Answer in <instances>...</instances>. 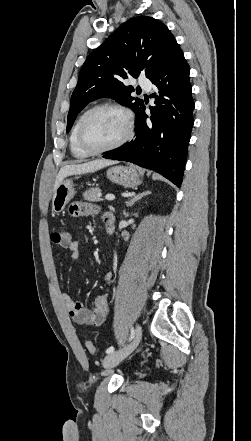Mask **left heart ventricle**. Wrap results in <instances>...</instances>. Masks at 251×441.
<instances>
[{"label":"left heart ventricle","instance_id":"1","mask_svg":"<svg viewBox=\"0 0 251 441\" xmlns=\"http://www.w3.org/2000/svg\"><path fill=\"white\" fill-rule=\"evenodd\" d=\"M126 131L125 118L113 109H100L90 114L84 125V141L95 149L118 141Z\"/></svg>","mask_w":251,"mask_h":441}]
</instances>
